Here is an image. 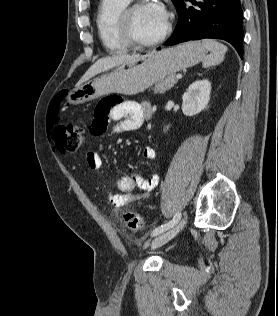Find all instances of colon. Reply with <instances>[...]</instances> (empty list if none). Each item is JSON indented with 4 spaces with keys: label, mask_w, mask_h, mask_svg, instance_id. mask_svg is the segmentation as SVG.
Listing matches in <instances>:
<instances>
[{
    "label": "colon",
    "mask_w": 278,
    "mask_h": 316,
    "mask_svg": "<svg viewBox=\"0 0 278 316\" xmlns=\"http://www.w3.org/2000/svg\"><path fill=\"white\" fill-rule=\"evenodd\" d=\"M51 137L60 152L73 153L77 151L83 143V122L77 121L67 126H58L51 131ZM124 222L131 231H140L144 227L143 218L134 211H127L124 214Z\"/></svg>",
    "instance_id": "obj_1"
}]
</instances>
